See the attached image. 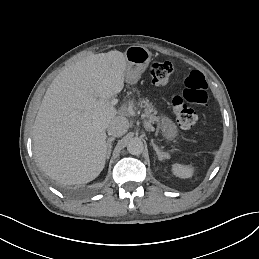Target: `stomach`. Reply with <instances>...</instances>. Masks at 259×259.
<instances>
[{"label":"stomach","instance_id":"0dacf381","mask_svg":"<svg viewBox=\"0 0 259 259\" xmlns=\"http://www.w3.org/2000/svg\"><path fill=\"white\" fill-rule=\"evenodd\" d=\"M128 63L123 70L124 80L129 85H134L144 74L143 67H146L151 60V52L143 46L132 45L125 51Z\"/></svg>","mask_w":259,"mask_h":259}]
</instances>
